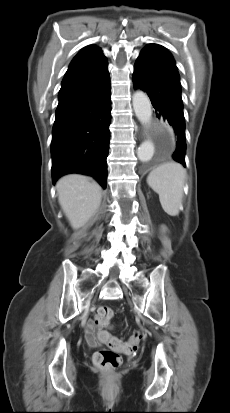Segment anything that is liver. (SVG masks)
Wrapping results in <instances>:
<instances>
[{
	"mask_svg": "<svg viewBox=\"0 0 230 413\" xmlns=\"http://www.w3.org/2000/svg\"><path fill=\"white\" fill-rule=\"evenodd\" d=\"M59 204L74 229L85 225L101 203V187L86 176L70 174L57 183Z\"/></svg>",
	"mask_w": 230,
	"mask_h": 413,
	"instance_id": "6515ba94",
	"label": "liver"
}]
</instances>
